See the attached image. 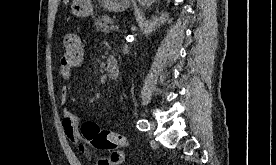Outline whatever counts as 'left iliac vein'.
<instances>
[{"instance_id": "left-iliac-vein-1", "label": "left iliac vein", "mask_w": 276, "mask_h": 165, "mask_svg": "<svg viewBox=\"0 0 276 165\" xmlns=\"http://www.w3.org/2000/svg\"><path fill=\"white\" fill-rule=\"evenodd\" d=\"M155 122L154 121H151L150 122V129H149V131H148V133H149V135H151L152 133H153V131H154V129H155Z\"/></svg>"}]
</instances>
